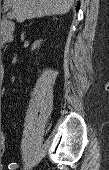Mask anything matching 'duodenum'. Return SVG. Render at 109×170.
<instances>
[{
  "label": "duodenum",
  "mask_w": 109,
  "mask_h": 170,
  "mask_svg": "<svg viewBox=\"0 0 109 170\" xmlns=\"http://www.w3.org/2000/svg\"><path fill=\"white\" fill-rule=\"evenodd\" d=\"M4 28L6 29V30H9L10 29V24L7 22V23H5L4 24ZM1 75H2V70H1Z\"/></svg>",
  "instance_id": "1"
}]
</instances>
